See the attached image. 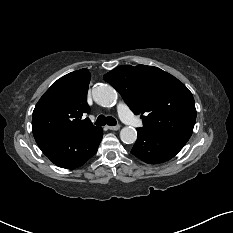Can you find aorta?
Returning <instances> with one entry per match:
<instances>
[{
  "instance_id": "obj_1",
  "label": "aorta",
  "mask_w": 233,
  "mask_h": 233,
  "mask_svg": "<svg viewBox=\"0 0 233 233\" xmlns=\"http://www.w3.org/2000/svg\"><path fill=\"white\" fill-rule=\"evenodd\" d=\"M93 97L96 102L103 106H111L117 99L115 89L109 85H100L93 89ZM120 139L125 144H132L137 139V131L134 127H124L120 131Z\"/></svg>"
}]
</instances>
